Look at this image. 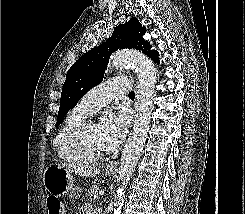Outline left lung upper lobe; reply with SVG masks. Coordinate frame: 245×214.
I'll return each mask as SVG.
<instances>
[{
    "instance_id": "obj_1",
    "label": "left lung upper lobe",
    "mask_w": 245,
    "mask_h": 214,
    "mask_svg": "<svg viewBox=\"0 0 245 214\" xmlns=\"http://www.w3.org/2000/svg\"><path fill=\"white\" fill-rule=\"evenodd\" d=\"M145 33V26H142L138 19L131 18L125 24L116 26L107 42L86 52L72 65L67 72L66 81L63 85L55 126L63 121L67 112L77 104L88 90L103 81L110 55L116 50L136 49L159 64L158 52L151 50L150 43L143 39Z\"/></svg>"
}]
</instances>
